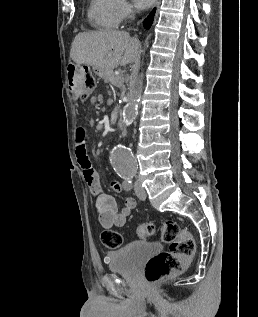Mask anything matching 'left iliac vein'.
<instances>
[{"instance_id":"left-iliac-vein-1","label":"left iliac vein","mask_w":258,"mask_h":317,"mask_svg":"<svg viewBox=\"0 0 258 317\" xmlns=\"http://www.w3.org/2000/svg\"><path fill=\"white\" fill-rule=\"evenodd\" d=\"M133 186L135 187V192L137 194V197L140 198L141 201H145V197H146V194H145V189L142 188L140 182L136 181L133 183Z\"/></svg>"}]
</instances>
